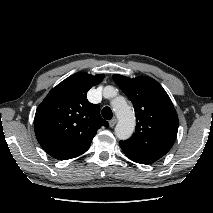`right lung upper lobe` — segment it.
Wrapping results in <instances>:
<instances>
[{
    "mask_svg": "<svg viewBox=\"0 0 213 213\" xmlns=\"http://www.w3.org/2000/svg\"><path fill=\"white\" fill-rule=\"evenodd\" d=\"M104 74L78 72L54 87L38 106L34 119L36 138L51 157L67 160L88 150L101 126L100 107L87 100L88 90L99 84Z\"/></svg>",
    "mask_w": 213,
    "mask_h": 213,
    "instance_id": "right-lung-upper-lobe-1",
    "label": "right lung upper lobe"
}]
</instances>
